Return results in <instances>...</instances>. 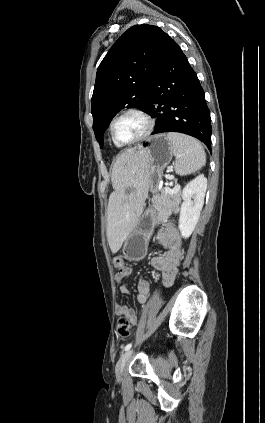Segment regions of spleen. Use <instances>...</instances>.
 <instances>
[{
    "label": "spleen",
    "instance_id": "obj_1",
    "mask_svg": "<svg viewBox=\"0 0 265 423\" xmlns=\"http://www.w3.org/2000/svg\"><path fill=\"white\" fill-rule=\"evenodd\" d=\"M167 137L173 146L177 175L184 176L195 173L205 165L204 148L196 139L175 132H169Z\"/></svg>",
    "mask_w": 265,
    "mask_h": 423
}]
</instances>
